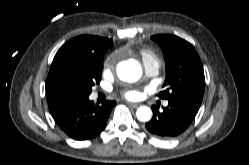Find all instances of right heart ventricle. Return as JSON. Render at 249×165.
I'll return each mask as SVG.
<instances>
[{
    "label": "right heart ventricle",
    "mask_w": 249,
    "mask_h": 165,
    "mask_svg": "<svg viewBox=\"0 0 249 165\" xmlns=\"http://www.w3.org/2000/svg\"><path fill=\"white\" fill-rule=\"evenodd\" d=\"M137 53L144 63L153 62V63H156L157 65H159L160 63L157 55L148 48H139Z\"/></svg>",
    "instance_id": "obj_1"
}]
</instances>
